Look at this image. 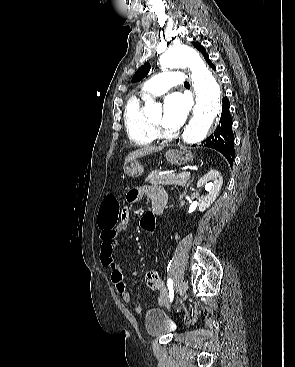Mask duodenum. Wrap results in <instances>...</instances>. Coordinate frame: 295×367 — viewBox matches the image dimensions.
Returning <instances> with one entry per match:
<instances>
[{"label":"duodenum","mask_w":295,"mask_h":367,"mask_svg":"<svg viewBox=\"0 0 295 367\" xmlns=\"http://www.w3.org/2000/svg\"><path fill=\"white\" fill-rule=\"evenodd\" d=\"M165 207V203L163 201L157 200L152 203V213L154 215H160Z\"/></svg>","instance_id":"duodenum-1"}]
</instances>
